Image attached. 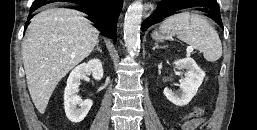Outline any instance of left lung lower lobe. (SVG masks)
I'll return each instance as SVG.
<instances>
[{
    "label": "left lung lower lobe",
    "mask_w": 257,
    "mask_h": 130,
    "mask_svg": "<svg viewBox=\"0 0 257 130\" xmlns=\"http://www.w3.org/2000/svg\"><path fill=\"white\" fill-rule=\"evenodd\" d=\"M191 7H198V10L207 13L208 17L223 28L220 9L216 0H162L153 14L143 21L142 30L162 21L166 17L174 15L181 9Z\"/></svg>",
    "instance_id": "left-lung-lower-lobe-1"
}]
</instances>
